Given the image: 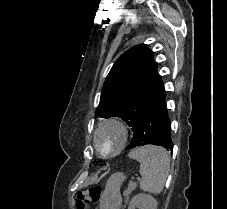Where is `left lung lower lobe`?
<instances>
[{
  "instance_id": "obj_1",
  "label": "left lung lower lobe",
  "mask_w": 227,
  "mask_h": 209,
  "mask_svg": "<svg viewBox=\"0 0 227 209\" xmlns=\"http://www.w3.org/2000/svg\"><path fill=\"white\" fill-rule=\"evenodd\" d=\"M165 97L166 92L164 91L144 112L126 150L148 144L173 149L171 124L167 114Z\"/></svg>"
}]
</instances>
